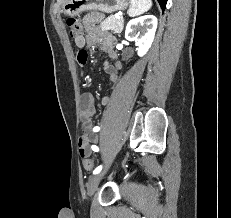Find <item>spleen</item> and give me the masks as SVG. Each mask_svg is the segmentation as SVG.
Returning a JSON list of instances; mask_svg holds the SVG:
<instances>
[{"instance_id": "obj_1", "label": "spleen", "mask_w": 231, "mask_h": 218, "mask_svg": "<svg viewBox=\"0 0 231 218\" xmlns=\"http://www.w3.org/2000/svg\"><path fill=\"white\" fill-rule=\"evenodd\" d=\"M128 15L135 17L147 12L152 7V0H130Z\"/></svg>"}]
</instances>
